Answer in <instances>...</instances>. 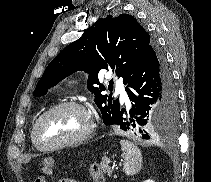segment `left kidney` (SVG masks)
<instances>
[{
  "mask_svg": "<svg viewBox=\"0 0 211 182\" xmlns=\"http://www.w3.org/2000/svg\"><path fill=\"white\" fill-rule=\"evenodd\" d=\"M143 182H155V181H153L152 179H147V180H145Z\"/></svg>",
  "mask_w": 211,
  "mask_h": 182,
  "instance_id": "1",
  "label": "left kidney"
}]
</instances>
